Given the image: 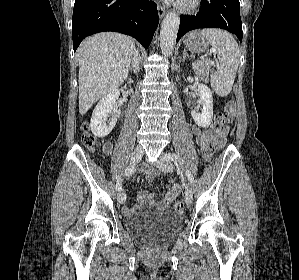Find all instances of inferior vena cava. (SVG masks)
I'll use <instances>...</instances> for the list:
<instances>
[{
  "label": "inferior vena cava",
  "instance_id": "1",
  "mask_svg": "<svg viewBox=\"0 0 299 280\" xmlns=\"http://www.w3.org/2000/svg\"><path fill=\"white\" fill-rule=\"evenodd\" d=\"M132 68L134 73H137L139 71V56L138 51H135L133 58H132Z\"/></svg>",
  "mask_w": 299,
  "mask_h": 280
}]
</instances>
